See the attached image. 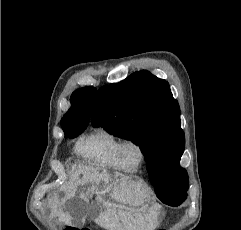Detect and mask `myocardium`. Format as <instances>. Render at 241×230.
<instances>
[{
	"label": "myocardium",
	"mask_w": 241,
	"mask_h": 230,
	"mask_svg": "<svg viewBox=\"0 0 241 230\" xmlns=\"http://www.w3.org/2000/svg\"><path fill=\"white\" fill-rule=\"evenodd\" d=\"M130 146H135L140 152V161L136 167H132L128 163V161L126 160V157H125L126 150ZM118 154H119L120 161L122 162V164L128 171L138 170L139 168L142 167V165L145 163V161L147 159V151H146L145 146L143 145V143L140 140L133 138V137L122 139V141L119 145Z\"/></svg>",
	"instance_id": "myocardium-1"
}]
</instances>
